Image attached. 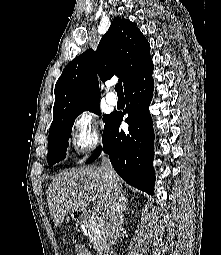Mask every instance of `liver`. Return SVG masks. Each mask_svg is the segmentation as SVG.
I'll return each instance as SVG.
<instances>
[{"mask_svg": "<svg viewBox=\"0 0 221 255\" xmlns=\"http://www.w3.org/2000/svg\"><path fill=\"white\" fill-rule=\"evenodd\" d=\"M114 183L122 187L123 181L116 174L115 180L110 183L101 166L94 165L73 168L56 175L47 189V202L54 225L60 227L70 211H84L96 191L105 211Z\"/></svg>", "mask_w": 221, "mask_h": 255, "instance_id": "obj_1", "label": "liver"}]
</instances>
